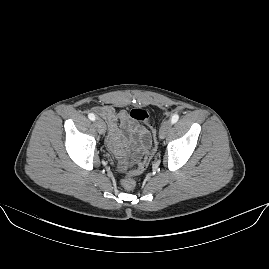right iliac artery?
<instances>
[{
    "label": "right iliac artery",
    "mask_w": 269,
    "mask_h": 269,
    "mask_svg": "<svg viewBox=\"0 0 269 269\" xmlns=\"http://www.w3.org/2000/svg\"><path fill=\"white\" fill-rule=\"evenodd\" d=\"M88 117H89V119L92 120V121L95 120V115H94L93 113H90V114L88 115Z\"/></svg>",
    "instance_id": "right-iliac-artery-1"
}]
</instances>
